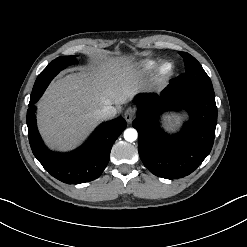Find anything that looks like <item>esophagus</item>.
I'll return each mask as SVG.
<instances>
[{
    "label": "esophagus",
    "mask_w": 247,
    "mask_h": 247,
    "mask_svg": "<svg viewBox=\"0 0 247 247\" xmlns=\"http://www.w3.org/2000/svg\"><path fill=\"white\" fill-rule=\"evenodd\" d=\"M135 116V111L131 108L127 109L124 114L125 120L129 123L133 120Z\"/></svg>",
    "instance_id": "esophagus-1"
}]
</instances>
